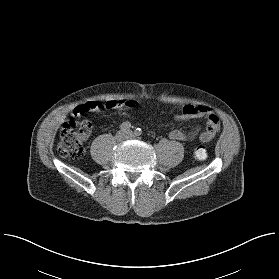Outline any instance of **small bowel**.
Returning a JSON list of instances; mask_svg holds the SVG:
<instances>
[{
  "label": "small bowel",
  "mask_w": 279,
  "mask_h": 279,
  "mask_svg": "<svg viewBox=\"0 0 279 279\" xmlns=\"http://www.w3.org/2000/svg\"><path fill=\"white\" fill-rule=\"evenodd\" d=\"M131 102L130 100L124 99H109V98H97L93 100L90 104L82 105L81 107H75L72 109L70 115L72 117H79L84 111H91L96 107L102 105V107L106 110H112L116 107H121ZM164 102H167L164 100ZM175 119L177 120H187L192 118H206L207 126L204 131H202L199 135V139L203 141L205 136L210 135V137L206 140L209 141L215 133L212 132L214 127H220V120L216 116V114L207 106H192L186 105L184 106L181 113L175 114ZM199 131V127H194L189 133H184L180 130H172L169 133V138L175 141H189L193 140L197 137ZM90 132V131H89ZM203 141V142H206Z\"/></svg>",
  "instance_id": "1"
}]
</instances>
